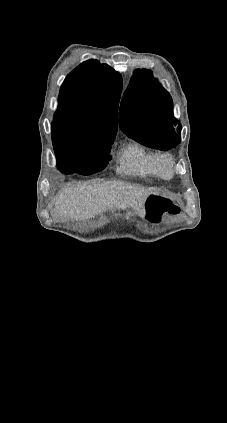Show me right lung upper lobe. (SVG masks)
I'll list each match as a JSON object with an SVG mask.
<instances>
[{"label":"right lung upper lobe","instance_id":"right-lung-upper-lobe-1","mask_svg":"<svg viewBox=\"0 0 227 423\" xmlns=\"http://www.w3.org/2000/svg\"><path fill=\"white\" fill-rule=\"evenodd\" d=\"M122 78L107 64L90 60L65 79L52 122V141L115 137Z\"/></svg>","mask_w":227,"mask_h":423}]
</instances>
